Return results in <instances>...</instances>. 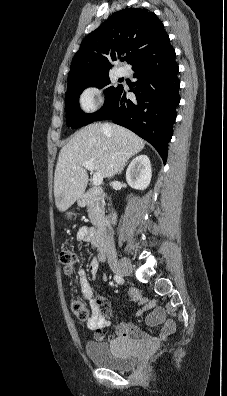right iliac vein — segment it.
<instances>
[{"mask_svg": "<svg viewBox=\"0 0 227 396\" xmlns=\"http://www.w3.org/2000/svg\"><path fill=\"white\" fill-rule=\"evenodd\" d=\"M111 269L119 276H128L130 273L129 264L126 260H113L110 262Z\"/></svg>", "mask_w": 227, "mask_h": 396, "instance_id": "obj_1", "label": "right iliac vein"}]
</instances>
